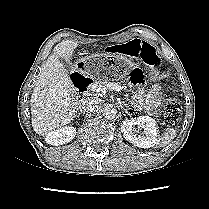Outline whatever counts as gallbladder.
I'll return each instance as SVG.
<instances>
[{
	"label": "gallbladder",
	"mask_w": 209,
	"mask_h": 209,
	"mask_svg": "<svg viewBox=\"0 0 209 209\" xmlns=\"http://www.w3.org/2000/svg\"><path fill=\"white\" fill-rule=\"evenodd\" d=\"M61 63L64 65L66 68H70V64L67 63L63 58L60 59Z\"/></svg>",
	"instance_id": "obj_1"
}]
</instances>
